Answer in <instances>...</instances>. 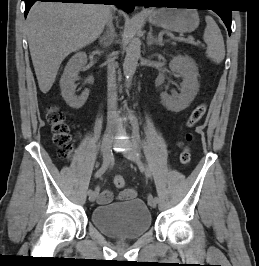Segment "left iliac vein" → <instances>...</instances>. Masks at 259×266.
<instances>
[{"mask_svg": "<svg viewBox=\"0 0 259 266\" xmlns=\"http://www.w3.org/2000/svg\"><path fill=\"white\" fill-rule=\"evenodd\" d=\"M128 147L129 148L123 152L124 156L140 166L141 160L137 150L130 145ZM148 204L153 208L156 207L157 203H155V198L148 200Z\"/></svg>", "mask_w": 259, "mask_h": 266, "instance_id": "obj_1", "label": "left iliac vein"}]
</instances>
